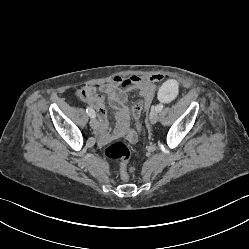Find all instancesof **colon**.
<instances>
[{
    "instance_id": "1",
    "label": "colon",
    "mask_w": 249,
    "mask_h": 249,
    "mask_svg": "<svg viewBox=\"0 0 249 249\" xmlns=\"http://www.w3.org/2000/svg\"><path fill=\"white\" fill-rule=\"evenodd\" d=\"M148 107V103L145 99H140L134 106V114L136 119V126L138 131L142 128V115L145 113ZM104 155L108 158L120 160V170L123 180H127L129 177V172L132 169L128 168V161L130 159V150L122 142H113L105 147Z\"/></svg>"
}]
</instances>
